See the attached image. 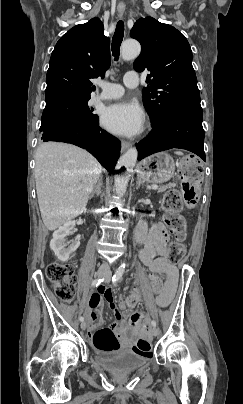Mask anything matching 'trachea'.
Wrapping results in <instances>:
<instances>
[{
  "label": "trachea",
  "mask_w": 243,
  "mask_h": 404,
  "mask_svg": "<svg viewBox=\"0 0 243 404\" xmlns=\"http://www.w3.org/2000/svg\"><path fill=\"white\" fill-rule=\"evenodd\" d=\"M124 37V22L119 20L112 38V54L117 61L120 55L121 42Z\"/></svg>",
  "instance_id": "1"
}]
</instances>
